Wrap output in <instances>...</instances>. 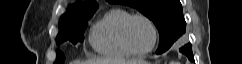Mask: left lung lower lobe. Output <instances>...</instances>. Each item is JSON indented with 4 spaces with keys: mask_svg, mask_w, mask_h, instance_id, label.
<instances>
[{
    "mask_svg": "<svg viewBox=\"0 0 242 64\" xmlns=\"http://www.w3.org/2000/svg\"><path fill=\"white\" fill-rule=\"evenodd\" d=\"M179 51L185 54L190 61H194L191 44H186L185 46L180 48Z\"/></svg>",
    "mask_w": 242,
    "mask_h": 64,
    "instance_id": "left-lung-lower-lobe-1",
    "label": "left lung lower lobe"
}]
</instances>
